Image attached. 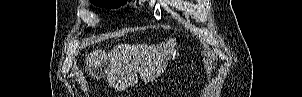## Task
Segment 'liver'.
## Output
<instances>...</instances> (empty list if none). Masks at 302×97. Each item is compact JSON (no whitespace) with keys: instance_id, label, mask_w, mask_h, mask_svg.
<instances>
[{"instance_id":"obj_1","label":"liver","mask_w":302,"mask_h":97,"mask_svg":"<svg viewBox=\"0 0 302 97\" xmlns=\"http://www.w3.org/2000/svg\"><path fill=\"white\" fill-rule=\"evenodd\" d=\"M174 46L175 39L171 38L156 47L145 44H118L108 53L95 50L86 58V70H89L92 78L100 79L96 70L106 66L105 73L101 72V76L107 75L110 86L124 91L134 83L136 72L145 78L148 74L145 73L146 70L152 68L154 76H159Z\"/></svg>"}]
</instances>
